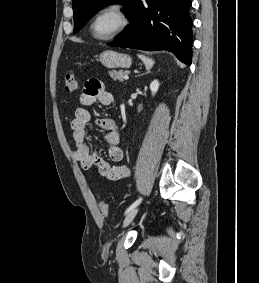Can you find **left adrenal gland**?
<instances>
[{"instance_id": "left-adrenal-gland-1", "label": "left adrenal gland", "mask_w": 259, "mask_h": 283, "mask_svg": "<svg viewBox=\"0 0 259 283\" xmlns=\"http://www.w3.org/2000/svg\"><path fill=\"white\" fill-rule=\"evenodd\" d=\"M150 73V71H147L146 74Z\"/></svg>"}]
</instances>
